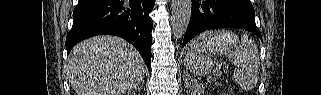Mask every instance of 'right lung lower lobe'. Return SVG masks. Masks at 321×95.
<instances>
[{"mask_svg": "<svg viewBox=\"0 0 321 95\" xmlns=\"http://www.w3.org/2000/svg\"><path fill=\"white\" fill-rule=\"evenodd\" d=\"M154 4L155 0H79L66 38L67 53L86 38L116 35L131 43L150 69L153 21L149 14Z\"/></svg>", "mask_w": 321, "mask_h": 95, "instance_id": "obj_1", "label": "right lung lower lobe"}]
</instances>
